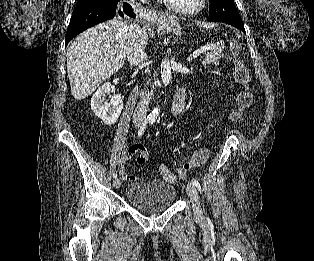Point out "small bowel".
I'll return each instance as SVG.
<instances>
[{
    "label": "small bowel",
    "instance_id": "c3829d8e",
    "mask_svg": "<svg viewBox=\"0 0 314 261\" xmlns=\"http://www.w3.org/2000/svg\"><path fill=\"white\" fill-rule=\"evenodd\" d=\"M175 114H179L181 111H176L173 110ZM140 155L145 156L146 158H148V153L147 150L145 149V147L141 144H134L130 147H128V149L125 151V153L123 154V156L120 159L119 162V171H120V175L121 178L123 180L126 181H133L136 179V177L134 175L128 174L125 171V163L128 162L129 160H131L133 157L136 158V161L138 162V157ZM140 163V162H138ZM180 175L181 176H185V171L183 170V168H178ZM159 173L161 174L162 178L169 182V183H175L176 182V176L168 169V167L164 164L161 163L158 167Z\"/></svg>",
    "mask_w": 314,
    "mask_h": 261
}]
</instances>
